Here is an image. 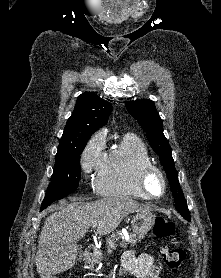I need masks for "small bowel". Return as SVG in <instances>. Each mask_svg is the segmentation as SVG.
Returning a JSON list of instances; mask_svg holds the SVG:
<instances>
[{
    "label": "small bowel",
    "mask_w": 221,
    "mask_h": 278,
    "mask_svg": "<svg viewBox=\"0 0 221 278\" xmlns=\"http://www.w3.org/2000/svg\"><path fill=\"white\" fill-rule=\"evenodd\" d=\"M120 275L133 278H158V267L151 255L127 251L123 255Z\"/></svg>",
    "instance_id": "obj_1"
}]
</instances>
